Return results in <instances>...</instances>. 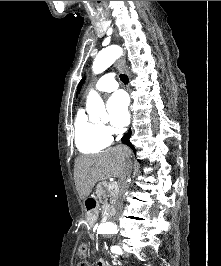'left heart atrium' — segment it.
Returning <instances> with one entry per match:
<instances>
[{
  "label": "left heart atrium",
  "mask_w": 221,
  "mask_h": 266,
  "mask_svg": "<svg viewBox=\"0 0 221 266\" xmlns=\"http://www.w3.org/2000/svg\"><path fill=\"white\" fill-rule=\"evenodd\" d=\"M129 101L125 93L117 92L107 102L110 122L117 128L125 127L129 123Z\"/></svg>",
  "instance_id": "1"
}]
</instances>
